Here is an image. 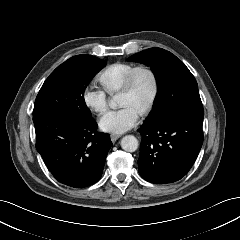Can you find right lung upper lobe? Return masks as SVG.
Here are the masks:
<instances>
[{
  "instance_id": "1",
  "label": "right lung upper lobe",
  "mask_w": 240,
  "mask_h": 240,
  "mask_svg": "<svg viewBox=\"0 0 240 240\" xmlns=\"http://www.w3.org/2000/svg\"><path fill=\"white\" fill-rule=\"evenodd\" d=\"M92 57H93V56H91V55H77V56L71 57L70 59H68V60L65 61V62H73V61L87 60V59H90V58H92Z\"/></svg>"
}]
</instances>
